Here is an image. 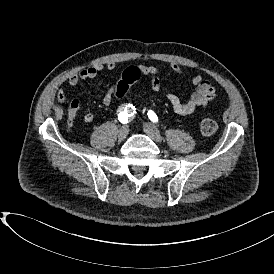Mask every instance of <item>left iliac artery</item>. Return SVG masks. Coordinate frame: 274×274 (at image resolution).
<instances>
[{"mask_svg": "<svg viewBox=\"0 0 274 274\" xmlns=\"http://www.w3.org/2000/svg\"><path fill=\"white\" fill-rule=\"evenodd\" d=\"M148 117L152 122L154 123L158 122V117L152 110L148 111Z\"/></svg>", "mask_w": 274, "mask_h": 274, "instance_id": "left-iliac-artery-1", "label": "left iliac artery"}]
</instances>
